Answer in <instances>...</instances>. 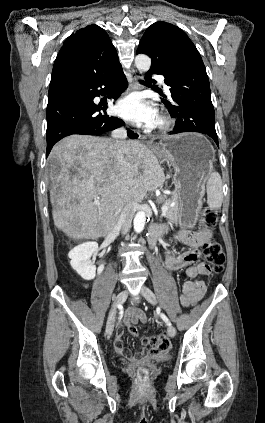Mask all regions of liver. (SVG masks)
I'll list each match as a JSON object with an SVG mask.
<instances>
[{
  "mask_svg": "<svg viewBox=\"0 0 265 423\" xmlns=\"http://www.w3.org/2000/svg\"><path fill=\"white\" fill-rule=\"evenodd\" d=\"M49 163L57 168L51 174L54 225L73 239L108 235L125 200L138 203L165 181L154 153L138 141H126L119 160L111 139L71 135L53 147Z\"/></svg>",
  "mask_w": 265,
  "mask_h": 423,
  "instance_id": "6515ba94",
  "label": "liver"
}]
</instances>
